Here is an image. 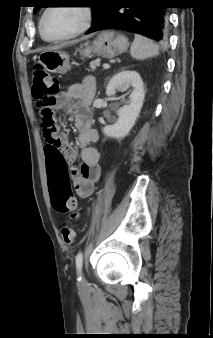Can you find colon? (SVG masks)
<instances>
[{
    "mask_svg": "<svg viewBox=\"0 0 213 338\" xmlns=\"http://www.w3.org/2000/svg\"><path fill=\"white\" fill-rule=\"evenodd\" d=\"M32 95L37 101L39 116L43 123L42 135L47 144L57 143L52 136L55 131L53 108L55 94L59 90V81L43 69L37 67L33 72ZM52 206L57 212L68 213L77 209V202L70 189L57 185L51 191ZM61 238L65 244H71L75 239V230L68 224L61 228Z\"/></svg>",
    "mask_w": 213,
    "mask_h": 338,
    "instance_id": "1",
    "label": "colon"
}]
</instances>
